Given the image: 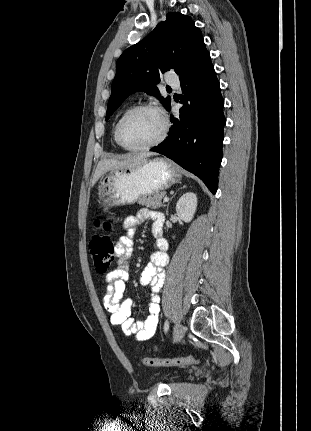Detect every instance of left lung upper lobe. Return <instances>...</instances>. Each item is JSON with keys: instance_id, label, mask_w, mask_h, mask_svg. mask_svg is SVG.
Returning <instances> with one entry per match:
<instances>
[{"instance_id": "left-lung-upper-lobe-1", "label": "left lung upper lobe", "mask_w": 311, "mask_h": 431, "mask_svg": "<svg viewBox=\"0 0 311 431\" xmlns=\"http://www.w3.org/2000/svg\"><path fill=\"white\" fill-rule=\"evenodd\" d=\"M205 50L202 33L191 17L168 13L166 21L159 23L142 41L126 49L118 59L106 120L126 97L137 91L145 90L158 97L169 109L171 98L161 97L155 86L160 82V73L173 69L180 78Z\"/></svg>"}]
</instances>
